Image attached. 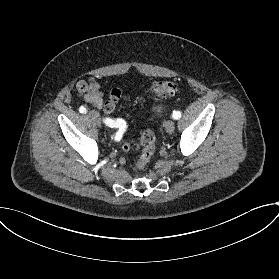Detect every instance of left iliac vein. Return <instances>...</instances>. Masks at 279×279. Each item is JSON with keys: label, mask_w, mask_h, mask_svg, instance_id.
I'll return each instance as SVG.
<instances>
[{"label": "left iliac vein", "mask_w": 279, "mask_h": 279, "mask_svg": "<svg viewBox=\"0 0 279 279\" xmlns=\"http://www.w3.org/2000/svg\"><path fill=\"white\" fill-rule=\"evenodd\" d=\"M165 129L168 134H172L174 132V122L168 120L165 123Z\"/></svg>", "instance_id": "4c4485c4"}]
</instances>
